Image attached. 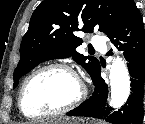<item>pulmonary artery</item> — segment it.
<instances>
[{
	"instance_id": "pulmonary-artery-1",
	"label": "pulmonary artery",
	"mask_w": 145,
	"mask_h": 124,
	"mask_svg": "<svg viewBox=\"0 0 145 124\" xmlns=\"http://www.w3.org/2000/svg\"><path fill=\"white\" fill-rule=\"evenodd\" d=\"M92 45L100 50L101 52H105L106 51V46L103 43V39L101 35H94L91 39Z\"/></svg>"
}]
</instances>
